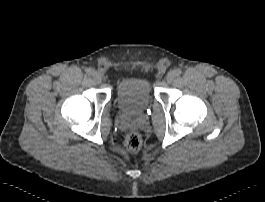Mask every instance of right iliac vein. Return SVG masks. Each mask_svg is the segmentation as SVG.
Instances as JSON below:
<instances>
[{"mask_svg":"<svg viewBox=\"0 0 265 202\" xmlns=\"http://www.w3.org/2000/svg\"><path fill=\"white\" fill-rule=\"evenodd\" d=\"M93 79L96 83H101L102 82V76L99 72L95 71L93 73Z\"/></svg>","mask_w":265,"mask_h":202,"instance_id":"obj_1","label":"right iliac vein"}]
</instances>
